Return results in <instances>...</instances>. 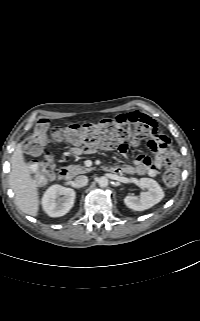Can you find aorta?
Masks as SVG:
<instances>
[{"instance_id":"obj_1","label":"aorta","mask_w":200,"mask_h":321,"mask_svg":"<svg viewBox=\"0 0 200 321\" xmlns=\"http://www.w3.org/2000/svg\"><path fill=\"white\" fill-rule=\"evenodd\" d=\"M98 184L100 187H107L109 184V180L107 177L102 176L98 179Z\"/></svg>"}]
</instances>
